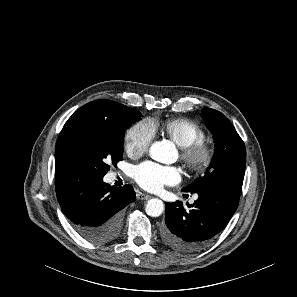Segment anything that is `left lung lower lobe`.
I'll list each match as a JSON object with an SVG mask.
<instances>
[{
    "mask_svg": "<svg viewBox=\"0 0 297 297\" xmlns=\"http://www.w3.org/2000/svg\"><path fill=\"white\" fill-rule=\"evenodd\" d=\"M241 190L214 185L195 191L199 197L192 205L187 203L188 208L180 201L166 203L165 224L161 228L164 243L181 252L204 247L228 224L238 207Z\"/></svg>",
    "mask_w": 297,
    "mask_h": 297,
    "instance_id": "left-lung-lower-lobe-1",
    "label": "left lung lower lobe"
}]
</instances>
